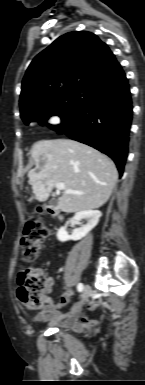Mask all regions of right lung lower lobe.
<instances>
[{
    "instance_id": "98d812e1",
    "label": "right lung lower lobe",
    "mask_w": 145,
    "mask_h": 385,
    "mask_svg": "<svg viewBox=\"0 0 145 385\" xmlns=\"http://www.w3.org/2000/svg\"><path fill=\"white\" fill-rule=\"evenodd\" d=\"M132 108L128 80L123 73L96 88L85 106L56 130L111 157L122 175L128 154Z\"/></svg>"
}]
</instances>
